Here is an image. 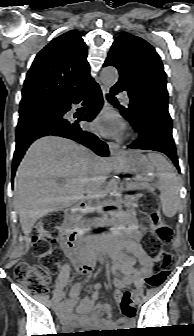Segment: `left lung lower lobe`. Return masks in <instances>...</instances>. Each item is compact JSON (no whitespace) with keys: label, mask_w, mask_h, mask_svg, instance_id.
Segmentation results:
<instances>
[{"label":"left lung lower lobe","mask_w":194,"mask_h":336,"mask_svg":"<svg viewBox=\"0 0 194 336\" xmlns=\"http://www.w3.org/2000/svg\"><path fill=\"white\" fill-rule=\"evenodd\" d=\"M123 90H126L125 87L121 83H117L111 88V94L116 95ZM128 96L131 102L129 93ZM117 108L120 109L121 115L130 122L134 130L139 133V138L129 145V148L162 152L180 170L168 110H138L126 114L121 106H117Z\"/></svg>","instance_id":"obj_1"}]
</instances>
